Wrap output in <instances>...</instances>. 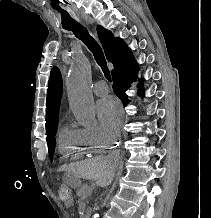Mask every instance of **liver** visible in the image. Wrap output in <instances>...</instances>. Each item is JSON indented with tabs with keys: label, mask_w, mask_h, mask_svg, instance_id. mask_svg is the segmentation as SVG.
Segmentation results:
<instances>
[{
	"label": "liver",
	"mask_w": 211,
	"mask_h": 218,
	"mask_svg": "<svg viewBox=\"0 0 211 218\" xmlns=\"http://www.w3.org/2000/svg\"><path fill=\"white\" fill-rule=\"evenodd\" d=\"M114 162L110 158L97 156V158L85 160L81 166V172L88 180H96L98 186H106L107 182L112 180L115 168Z\"/></svg>",
	"instance_id": "1"
}]
</instances>
